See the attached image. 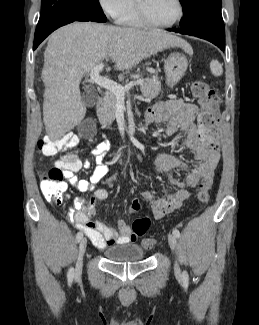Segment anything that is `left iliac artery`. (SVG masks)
Wrapping results in <instances>:
<instances>
[{
  "label": "left iliac artery",
  "instance_id": "1",
  "mask_svg": "<svg viewBox=\"0 0 259 325\" xmlns=\"http://www.w3.org/2000/svg\"><path fill=\"white\" fill-rule=\"evenodd\" d=\"M173 234L177 237V238H179L180 237V232H179V230L177 229V228H174L173 229ZM182 276H183V279L184 280H188V273L186 272V271H183V274H182Z\"/></svg>",
  "mask_w": 259,
  "mask_h": 325
}]
</instances>
